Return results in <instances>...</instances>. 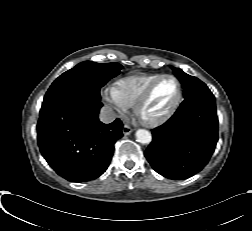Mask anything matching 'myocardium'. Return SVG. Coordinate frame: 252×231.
Wrapping results in <instances>:
<instances>
[{
    "label": "myocardium",
    "instance_id": "myocardium-1",
    "mask_svg": "<svg viewBox=\"0 0 252 231\" xmlns=\"http://www.w3.org/2000/svg\"><path fill=\"white\" fill-rule=\"evenodd\" d=\"M165 78H171L177 84V95H176L173 103L171 104V106L169 107V109L164 114H162L161 116H159L157 118H153V119L144 118L142 116V114H141L144 105L150 99V97H151L154 89L156 88V86L160 83V81H162ZM182 95H183L182 84H181L180 80L176 76L171 75V74L160 75L157 79H155L146 88V90L143 92V94L140 96V98L134 104V116L136 117V119L142 125H144L146 127H157V126H160V125L164 124L166 121H168L173 116V114L176 112V110L178 109V107H179V105L181 103Z\"/></svg>",
    "mask_w": 252,
    "mask_h": 231
}]
</instances>
